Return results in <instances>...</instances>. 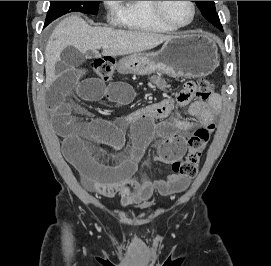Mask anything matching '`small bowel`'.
<instances>
[{
    "label": "small bowel",
    "mask_w": 271,
    "mask_h": 266,
    "mask_svg": "<svg viewBox=\"0 0 271 266\" xmlns=\"http://www.w3.org/2000/svg\"><path fill=\"white\" fill-rule=\"evenodd\" d=\"M85 75L79 61L64 57L48 69L51 86L46 98L54 127L63 138L62 152L81 174L83 184L103 196H119L122 206L148 202L155 191L168 195L184 190L189 179L176 174L155 180H137L133 174L148 143L156 138L160 139L158 161L169 163L181 159L185 152V134L197 125L214 122L221 109L220 97L213 95L207 102L167 98L127 117L75 123L68 101L72 93H78L85 100H107L117 105L128 104L134 96L132 87L126 82L105 83ZM154 80L159 88L165 87L162 79L156 77ZM127 126L131 127L134 138V146L127 157L104 162L91 154L87 140L120 150L125 143L124 128Z\"/></svg>",
    "instance_id": "small-bowel-1"
}]
</instances>
